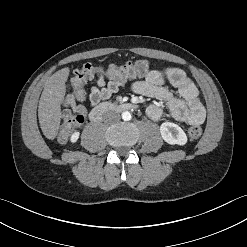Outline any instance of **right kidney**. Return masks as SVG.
<instances>
[{"instance_id": "ca27d5eb", "label": "right kidney", "mask_w": 247, "mask_h": 247, "mask_svg": "<svg viewBox=\"0 0 247 247\" xmlns=\"http://www.w3.org/2000/svg\"><path fill=\"white\" fill-rule=\"evenodd\" d=\"M79 135H80L79 132H77V131L74 132V133L71 135V137H70V141H71L72 143H75V142L78 140Z\"/></svg>"}]
</instances>
